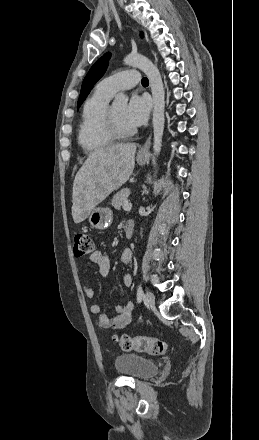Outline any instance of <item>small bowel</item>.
Listing matches in <instances>:
<instances>
[{
	"mask_svg": "<svg viewBox=\"0 0 259 440\" xmlns=\"http://www.w3.org/2000/svg\"><path fill=\"white\" fill-rule=\"evenodd\" d=\"M133 253L132 250L126 248L121 254V261L124 264H129L132 261ZM90 261L95 264L98 268V272L102 277H106L110 273L111 264L108 256L100 250L94 251L90 257ZM123 285L125 287H130L132 285V277L129 274H125L122 279ZM84 294L87 298L94 297V290L88 286L83 287ZM134 310V305L131 301L119 305L116 307V314L114 316H108L101 313V307L98 304H93L90 307V311L98 315V324L105 329L113 328L116 330H122L129 326L133 322L132 313Z\"/></svg>",
	"mask_w": 259,
	"mask_h": 440,
	"instance_id": "1",
	"label": "small bowel"
}]
</instances>
